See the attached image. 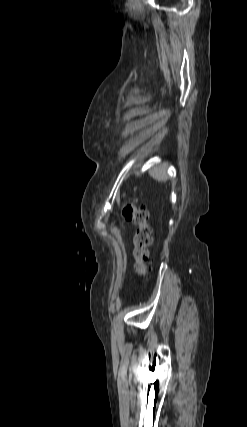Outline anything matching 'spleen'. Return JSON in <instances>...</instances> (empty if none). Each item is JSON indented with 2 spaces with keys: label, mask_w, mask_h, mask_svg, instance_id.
Segmentation results:
<instances>
[{
  "label": "spleen",
  "mask_w": 247,
  "mask_h": 427,
  "mask_svg": "<svg viewBox=\"0 0 247 427\" xmlns=\"http://www.w3.org/2000/svg\"><path fill=\"white\" fill-rule=\"evenodd\" d=\"M150 175L157 181H166L167 178V165L162 164L149 171Z\"/></svg>",
  "instance_id": "obj_1"
}]
</instances>
